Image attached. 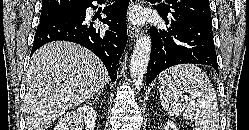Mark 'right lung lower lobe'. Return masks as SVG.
Masks as SVG:
<instances>
[{"instance_id":"1","label":"right lung lower lobe","mask_w":249,"mask_h":130,"mask_svg":"<svg viewBox=\"0 0 249 130\" xmlns=\"http://www.w3.org/2000/svg\"><path fill=\"white\" fill-rule=\"evenodd\" d=\"M128 5V0H116L104 9L103 13L107 17H100L98 21L109 25L107 31L94 28L96 18L86 17V9L94 7L92 1L85 5L79 15L40 23L35 33L31 54L51 41L75 42L95 53L104 63L112 81L115 82L119 59L127 43L125 16Z\"/></svg>"}]
</instances>
